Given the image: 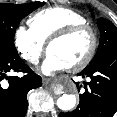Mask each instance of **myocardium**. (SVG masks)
Returning a JSON list of instances; mask_svg holds the SVG:
<instances>
[{
	"label": "myocardium",
	"instance_id": "myocardium-1",
	"mask_svg": "<svg viewBox=\"0 0 117 117\" xmlns=\"http://www.w3.org/2000/svg\"><path fill=\"white\" fill-rule=\"evenodd\" d=\"M79 33H88L91 38V43H90L89 50L87 54L84 56V58L69 67V69L72 71L83 70L92 62L93 58L95 57L97 47H98V35L96 33V30L87 23L72 25L54 34L48 40V43H47V52L49 53V49L53 44L62 42Z\"/></svg>",
	"mask_w": 117,
	"mask_h": 117
}]
</instances>
